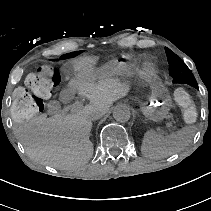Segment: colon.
Here are the masks:
<instances>
[{
  "mask_svg": "<svg viewBox=\"0 0 211 211\" xmlns=\"http://www.w3.org/2000/svg\"><path fill=\"white\" fill-rule=\"evenodd\" d=\"M60 75L50 65H42L25 79V86L17 88L12 95V118L17 122H26L40 114L44 109L45 100L59 84ZM174 98L182 112L186 123H194L198 117L195 103L188 91L178 88Z\"/></svg>",
  "mask_w": 211,
  "mask_h": 211,
  "instance_id": "1",
  "label": "colon"
}]
</instances>
